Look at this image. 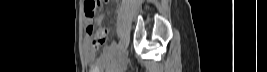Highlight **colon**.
I'll return each mask as SVG.
<instances>
[{
  "label": "colon",
  "mask_w": 267,
  "mask_h": 72,
  "mask_svg": "<svg viewBox=\"0 0 267 72\" xmlns=\"http://www.w3.org/2000/svg\"><path fill=\"white\" fill-rule=\"evenodd\" d=\"M101 1L99 0H88L86 1L84 11L88 18H93L99 11ZM87 33L93 39V46L99 48L102 46L106 39V33L104 29L95 28L93 25H89Z\"/></svg>",
  "instance_id": "obj_1"
}]
</instances>
